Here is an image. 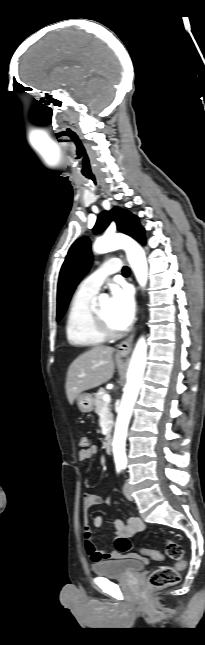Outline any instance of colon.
Returning <instances> with one entry per match:
<instances>
[{
  "mask_svg": "<svg viewBox=\"0 0 205 645\" xmlns=\"http://www.w3.org/2000/svg\"><path fill=\"white\" fill-rule=\"evenodd\" d=\"M78 444L81 450H86L90 447V441L84 435L79 437ZM114 547L120 553H128L133 548L130 539L125 537L117 538ZM139 553L145 558L154 560H160L163 557L160 552L151 549H139ZM166 554L175 561V565L161 566L153 571L148 577V584L152 588H165L177 584L180 580V572L186 567L183 549L177 542L173 540L166 541Z\"/></svg>",
  "mask_w": 205,
  "mask_h": 645,
  "instance_id": "5ec220e1",
  "label": "colon"
}]
</instances>
